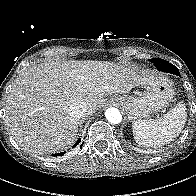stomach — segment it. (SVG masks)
Masks as SVG:
<instances>
[{"label": "stomach", "instance_id": "obj_1", "mask_svg": "<svg viewBox=\"0 0 196 196\" xmlns=\"http://www.w3.org/2000/svg\"><path fill=\"white\" fill-rule=\"evenodd\" d=\"M137 86L145 90L137 96H113L109 102L120 105L129 120H142L150 114L166 109L174 96L171 80L158 75H141Z\"/></svg>", "mask_w": 196, "mask_h": 196}]
</instances>
